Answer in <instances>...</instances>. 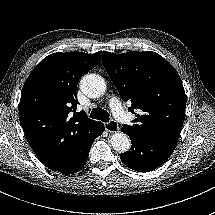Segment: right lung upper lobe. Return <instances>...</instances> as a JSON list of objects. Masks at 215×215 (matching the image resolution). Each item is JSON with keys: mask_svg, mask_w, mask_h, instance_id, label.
<instances>
[{"mask_svg": "<svg viewBox=\"0 0 215 215\" xmlns=\"http://www.w3.org/2000/svg\"><path fill=\"white\" fill-rule=\"evenodd\" d=\"M101 52L53 53L31 72L21 92L19 119L25 136L40 160L51 168L64 164L70 140L95 120L79 104L76 87L81 76L93 69Z\"/></svg>", "mask_w": 215, "mask_h": 215, "instance_id": "right-lung-upper-lobe-1", "label": "right lung upper lobe"}]
</instances>
